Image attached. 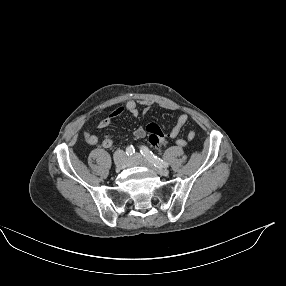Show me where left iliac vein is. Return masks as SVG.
Instances as JSON below:
<instances>
[{"label":"left iliac vein","instance_id":"1","mask_svg":"<svg viewBox=\"0 0 286 286\" xmlns=\"http://www.w3.org/2000/svg\"><path fill=\"white\" fill-rule=\"evenodd\" d=\"M138 165L146 166L161 176H168L169 175V171L167 169L154 166L151 162H149L141 154L136 153L133 157L130 158L129 166H138Z\"/></svg>","mask_w":286,"mask_h":286}]
</instances>
